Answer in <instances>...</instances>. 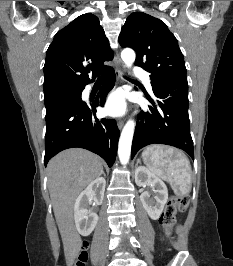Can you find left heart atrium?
<instances>
[{"label": "left heart atrium", "instance_id": "1", "mask_svg": "<svg viewBox=\"0 0 233 266\" xmlns=\"http://www.w3.org/2000/svg\"><path fill=\"white\" fill-rule=\"evenodd\" d=\"M127 104L125 94L120 91L112 92L106 99L104 111L107 115L118 117L126 112Z\"/></svg>", "mask_w": 233, "mask_h": 266}]
</instances>
